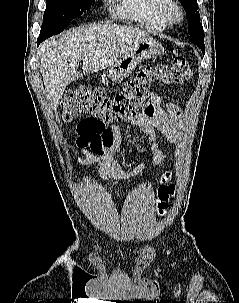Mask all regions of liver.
I'll return each instance as SVG.
<instances>
[{
    "label": "liver",
    "mask_w": 239,
    "mask_h": 303,
    "mask_svg": "<svg viewBox=\"0 0 239 303\" xmlns=\"http://www.w3.org/2000/svg\"><path fill=\"white\" fill-rule=\"evenodd\" d=\"M148 32L116 24H97L72 28L47 40L39 49L40 72L45 93L53 108L60 104L66 86L84 74L103 70L114 64L136 41Z\"/></svg>",
    "instance_id": "1"
}]
</instances>
